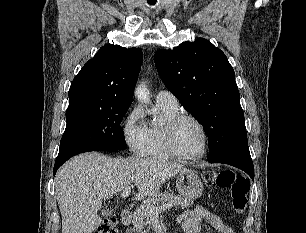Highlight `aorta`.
Instances as JSON below:
<instances>
[{"instance_id":"1","label":"aorta","mask_w":306,"mask_h":233,"mask_svg":"<svg viewBox=\"0 0 306 233\" xmlns=\"http://www.w3.org/2000/svg\"><path fill=\"white\" fill-rule=\"evenodd\" d=\"M135 95L140 101L149 102V92L144 83H141L136 87Z\"/></svg>"}]
</instances>
